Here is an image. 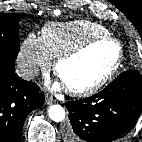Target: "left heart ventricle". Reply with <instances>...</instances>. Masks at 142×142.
<instances>
[{"mask_svg": "<svg viewBox=\"0 0 142 142\" xmlns=\"http://www.w3.org/2000/svg\"><path fill=\"white\" fill-rule=\"evenodd\" d=\"M117 47L103 42L91 47L82 55L63 63L59 77L66 87L84 88L104 76L115 63Z\"/></svg>", "mask_w": 142, "mask_h": 142, "instance_id": "obj_1", "label": "left heart ventricle"}]
</instances>
